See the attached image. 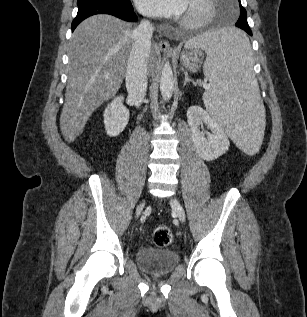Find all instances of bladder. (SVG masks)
<instances>
[{
  "instance_id": "31cf9c89",
  "label": "bladder",
  "mask_w": 307,
  "mask_h": 317,
  "mask_svg": "<svg viewBox=\"0 0 307 317\" xmlns=\"http://www.w3.org/2000/svg\"><path fill=\"white\" fill-rule=\"evenodd\" d=\"M139 268L151 276L170 273L179 263V255L170 249L141 247L135 254Z\"/></svg>"
}]
</instances>
